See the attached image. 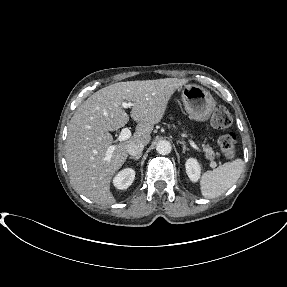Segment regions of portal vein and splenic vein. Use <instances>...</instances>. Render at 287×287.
Segmentation results:
<instances>
[{
    "label": "portal vein and splenic vein",
    "instance_id": "obj_1",
    "mask_svg": "<svg viewBox=\"0 0 287 287\" xmlns=\"http://www.w3.org/2000/svg\"><path fill=\"white\" fill-rule=\"evenodd\" d=\"M132 105L133 104L131 102H122L121 107L126 109V108H130ZM131 135L132 133H131L130 128L128 127L123 128L121 130V133L118 136V141L122 142V141L128 140L131 137ZM189 143L194 149H196L197 151H201V149L192 140H189ZM114 150H115V146H110L107 150V155L108 156L111 155ZM211 167H216V163L212 162Z\"/></svg>",
    "mask_w": 287,
    "mask_h": 287
}]
</instances>
